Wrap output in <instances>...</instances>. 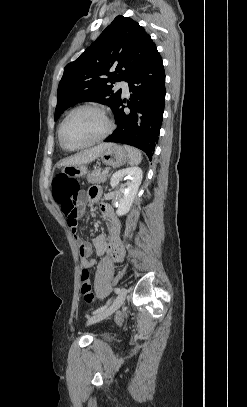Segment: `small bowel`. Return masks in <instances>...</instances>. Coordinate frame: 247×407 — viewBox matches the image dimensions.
Masks as SVG:
<instances>
[{
    "mask_svg": "<svg viewBox=\"0 0 247 407\" xmlns=\"http://www.w3.org/2000/svg\"><path fill=\"white\" fill-rule=\"evenodd\" d=\"M99 194V189L92 187L85 193L77 194L73 198L59 203L66 222L71 229L75 240L79 244L81 264L87 269L95 265V260L90 258L92 248L95 249L98 255L110 253L116 261H121L124 256V249L120 239V222L116 217L113 208L109 204L101 203L99 206L100 212L102 213L108 227L110 235L109 240H107L104 234H100L93 239L91 244L81 240L77 234V223L78 219L85 212V202L90 201L96 203Z\"/></svg>",
    "mask_w": 247,
    "mask_h": 407,
    "instance_id": "1",
    "label": "small bowel"
}]
</instances>
